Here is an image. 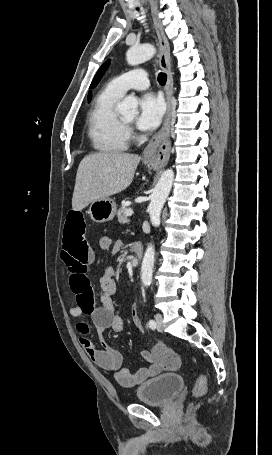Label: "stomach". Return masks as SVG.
Masks as SVG:
<instances>
[{"mask_svg": "<svg viewBox=\"0 0 272 455\" xmlns=\"http://www.w3.org/2000/svg\"><path fill=\"white\" fill-rule=\"evenodd\" d=\"M144 163L152 167L154 166V164L149 160H145ZM116 209L117 207L115 201L108 197L92 202L89 207L88 214L94 222L104 223L114 218Z\"/></svg>", "mask_w": 272, "mask_h": 455, "instance_id": "0dacf381", "label": "stomach"}]
</instances>
